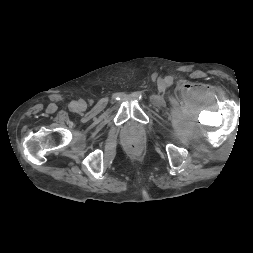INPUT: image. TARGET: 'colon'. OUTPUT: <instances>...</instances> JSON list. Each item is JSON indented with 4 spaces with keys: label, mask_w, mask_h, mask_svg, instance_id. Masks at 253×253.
Instances as JSON below:
<instances>
[{
    "label": "colon",
    "mask_w": 253,
    "mask_h": 253,
    "mask_svg": "<svg viewBox=\"0 0 253 253\" xmlns=\"http://www.w3.org/2000/svg\"><path fill=\"white\" fill-rule=\"evenodd\" d=\"M132 145L135 146V143L133 142Z\"/></svg>",
    "instance_id": "colon-1"
}]
</instances>
